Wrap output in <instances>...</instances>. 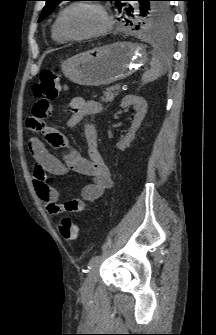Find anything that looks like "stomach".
Here are the masks:
<instances>
[{"instance_id":"0dacf381","label":"stomach","mask_w":216,"mask_h":335,"mask_svg":"<svg viewBox=\"0 0 216 335\" xmlns=\"http://www.w3.org/2000/svg\"><path fill=\"white\" fill-rule=\"evenodd\" d=\"M147 61L143 47L119 41L68 58L61 68L65 76L76 84L101 86L127 78Z\"/></svg>"}]
</instances>
